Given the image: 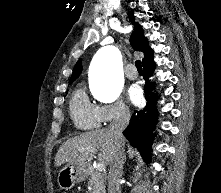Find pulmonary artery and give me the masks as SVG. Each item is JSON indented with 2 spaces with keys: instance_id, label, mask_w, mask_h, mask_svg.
I'll list each match as a JSON object with an SVG mask.
<instances>
[{
  "instance_id": "pulmonary-artery-1",
  "label": "pulmonary artery",
  "mask_w": 221,
  "mask_h": 193,
  "mask_svg": "<svg viewBox=\"0 0 221 193\" xmlns=\"http://www.w3.org/2000/svg\"><path fill=\"white\" fill-rule=\"evenodd\" d=\"M133 65H129L125 70V75L128 79L134 80L138 77V73L136 70H133Z\"/></svg>"
}]
</instances>
